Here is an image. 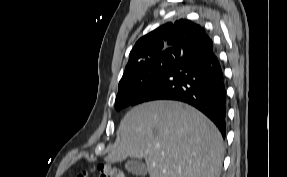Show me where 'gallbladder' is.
<instances>
[{"mask_svg": "<svg viewBox=\"0 0 287 177\" xmlns=\"http://www.w3.org/2000/svg\"><path fill=\"white\" fill-rule=\"evenodd\" d=\"M126 170L136 176H145L147 174V168L144 163L139 159H130L125 163Z\"/></svg>", "mask_w": 287, "mask_h": 177, "instance_id": "bac80fb5", "label": "gallbladder"}]
</instances>
